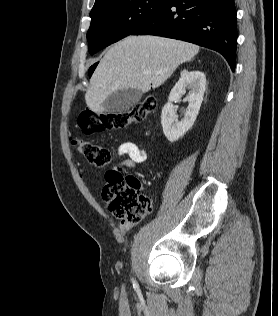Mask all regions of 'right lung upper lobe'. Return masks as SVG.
Returning a JSON list of instances; mask_svg holds the SVG:
<instances>
[{
    "instance_id": "right-lung-upper-lobe-1",
    "label": "right lung upper lobe",
    "mask_w": 278,
    "mask_h": 316,
    "mask_svg": "<svg viewBox=\"0 0 278 316\" xmlns=\"http://www.w3.org/2000/svg\"><path fill=\"white\" fill-rule=\"evenodd\" d=\"M104 1H107V0H95L94 6L100 4V3L104 2Z\"/></svg>"
}]
</instances>
